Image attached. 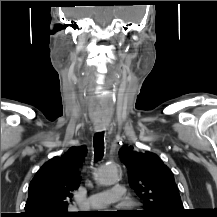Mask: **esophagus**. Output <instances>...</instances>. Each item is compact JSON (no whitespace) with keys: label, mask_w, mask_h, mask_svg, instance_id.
<instances>
[{"label":"esophagus","mask_w":217,"mask_h":217,"mask_svg":"<svg viewBox=\"0 0 217 217\" xmlns=\"http://www.w3.org/2000/svg\"><path fill=\"white\" fill-rule=\"evenodd\" d=\"M103 130H104V126H102V125L95 126V131L100 132V131H103Z\"/></svg>","instance_id":"esophagus-1"}]
</instances>
